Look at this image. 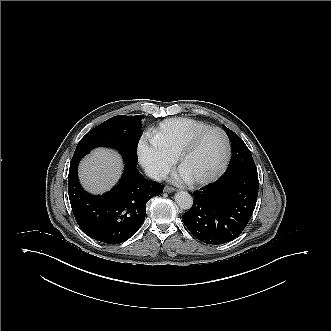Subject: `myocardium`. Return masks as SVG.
Masks as SVG:
<instances>
[{
  "mask_svg": "<svg viewBox=\"0 0 331 331\" xmlns=\"http://www.w3.org/2000/svg\"><path fill=\"white\" fill-rule=\"evenodd\" d=\"M212 132H217L221 135L223 142H224V156H223V160L221 165L219 166V168L210 176L206 177V178H197V179H192L191 183L195 184V185H204V184H208L211 183L215 180H217L226 170L228 163H229V159H230V143H229V139L226 135V133L218 128V127H210L207 128L205 130H202L200 132H198L197 134H195L194 136H192L180 149L179 154H178V158H177V166L178 169L181 170V165L182 162L185 158V156L187 155V153L195 146V144L205 135L212 133Z\"/></svg>",
  "mask_w": 331,
  "mask_h": 331,
  "instance_id": "1",
  "label": "myocardium"
}]
</instances>
